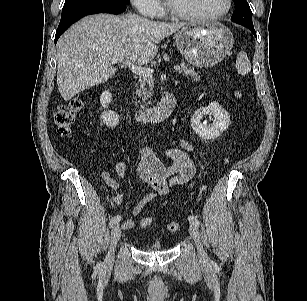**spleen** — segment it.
<instances>
[{
  "instance_id": "3e777b00",
  "label": "spleen",
  "mask_w": 307,
  "mask_h": 301,
  "mask_svg": "<svg viewBox=\"0 0 307 301\" xmlns=\"http://www.w3.org/2000/svg\"><path fill=\"white\" fill-rule=\"evenodd\" d=\"M235 66L240 75H246L251 71V63L244 51L238 53Z\"/></svg>"
}]
</instances>
